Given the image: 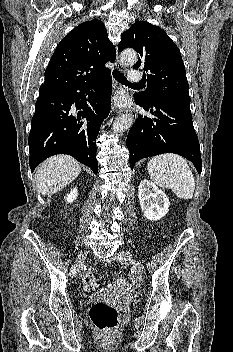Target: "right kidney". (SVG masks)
<instances>
[{"label": "right kidney", "instance_id": "1", "mask_svg": "<svg viewBox=\"0 0 233 352\" xmlns=\"http://www.w3.org/2000/svg\"><path fill=\"white\" fill-rule=\"evenodd\" d=\"M77 189L76 187L73 188L69 194H67V197H65V200L68 202V203H72L76 198H77Z\"/></svg>", "mask_w": 233, "mask_h": 352}]
</instances>
